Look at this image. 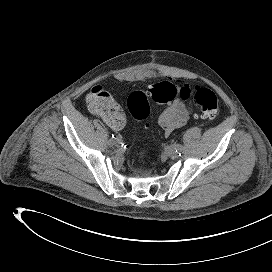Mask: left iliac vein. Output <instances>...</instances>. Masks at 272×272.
I'll return each instance as SVG.
<instances>
[{
	"mask_svg": "<svg viewBox=\"0 0 272 272\" xmlns=\"http://www.w3.org/2000/svg\"><path fill=\"white\" fill-rule=\"evenodd\" d=\"M167 155L170 157H175L177 155V152L175 151L174 148H170L167 150Z\"/></svg>",
	"mask_w": 272,
	"mask_h": 272,
	"instance_id": "left-iliac-vein-1",
	"label": "left iliac vein"
}]
</instances>
